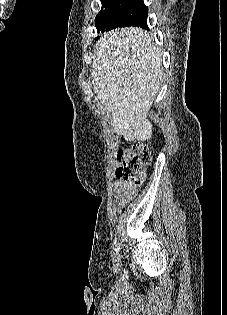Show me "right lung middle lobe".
Listing matches in <instances>:
<instances>
[{
	"label": "right lung middle lobe",
	"instance_id": "dd1d6c3e",
	"mask_svg": "<svg viewBox=\"0 0 227 315\" xmlns=\"http://www.w3.org/2000/svg\"><path fill=\"white\" fill-rule=\"evenodd\" d=\"M102 9L95 18L97 31L108 28L147 27L148 8L142 0H101Z\"/></svg>",
	"mask_w": 227,
	"mask_h": 315
}]
</instances>
